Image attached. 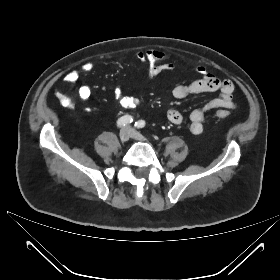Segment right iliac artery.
I'll return each instance as SVG.
<instances>
[{"instance_id":"obj_1","label":"right iliac artery","mask_w":280,"mask_h":280,"mask_svg":"<svg viewBox=\"0 0 280 280\" xmlns=\"http://www.w3.org/2000/svg\"><path fill=\"white\" fill-rule=\"evenodd\" d=\"M131 122H133V117L130 115H124L117 120V126L121 128L130 124Z\"/></svg>"}]
</instances>
